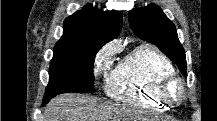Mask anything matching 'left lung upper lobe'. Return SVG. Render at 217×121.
Returning <instances> with one entry per match:
<instances>
[{"label": "left lung upper lobe", "mask_w": 217, "mask_h": 121, "mask_svg": "<svg viewBox=\"0 0 217 121\" xmlns=\"http://www.w3.org/2000/svg\"><path fill=\"white\" fill-rule=\"evenodd\" d=\"M133 32L142 40L155 44L186 77L185 51L178 39L174 24L155 4L133 9L128 15Z\"/></svg>", "instance_id": "obj_1"}]
</instances>
